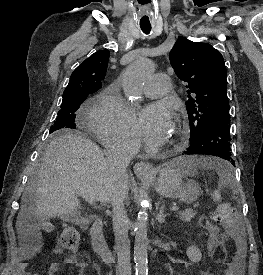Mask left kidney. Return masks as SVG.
Wrapping results in <instances>:
<instances>
[{"label": "left kidney", "mask_w": 263, "mask_h": 275, "mask_svg": "<svg viewBox=\"0 0 263 275\" xmlns=\"http://www.w3.org/2000/svg\"><path fill=\"white\" fill-rule=\"evenodd\" d=\"M186 254L192 263H198L201 261L202 254L198 247L191 246L187 248Z\"/></svg>", "instance_id": "obj_1"}]
</instances>
